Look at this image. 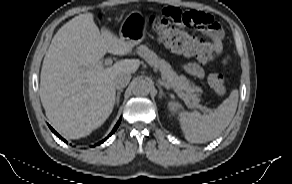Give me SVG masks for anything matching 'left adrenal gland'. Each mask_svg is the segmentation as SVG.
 <instances>
[{"label": "left adrenal gland", "mask_w": 292, "mask_h": 184, "mask_svg": "<svg viewBox=\"0 0 292 184\" xmlns=\"http://www.w3.org/2000/svg\"><path fill=\"white\" fill-rule=\"evenodd\" d=\"M165 97V94L163 92V89L161 88V86H159V97L162 98V97Z\"/></svg>", "instance_id": "1"}]
</instances>
